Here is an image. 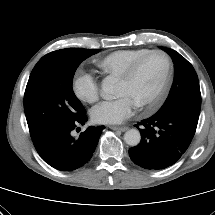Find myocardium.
<instances>
[{
    "mask_svg": "<svg viewBox=\"0 0 215 215\" xmlns=\"http://www.w3.org/2000/svg\"><path fill=\"white\" fill-rule=\"evenodd\" d=\"M161 55L165 58L166 60V71H165V75L163 78V81L160 85V87L158 88V90L155 92V94L146 102L141 103L139 105H137L140 108H153L161 99V97L163 96L164 92L167 89V86L169 84L170 78H171V74H172V59L169 56V54L163 50L160 49H154V50H149L147 52H145L144 54H142L141 56H139L138 58H136L126 69L125 71L119 76V80L121 81H128L130 80L133 75L135 74V72L137 71L138 67L140 66V64L150 55Z\"/></svg>",
    "mask_w": 215,
    "mask_h": 215,
    "instance_id": "myocardium-1",
    "label": "myocardium"
}]
</instances>
